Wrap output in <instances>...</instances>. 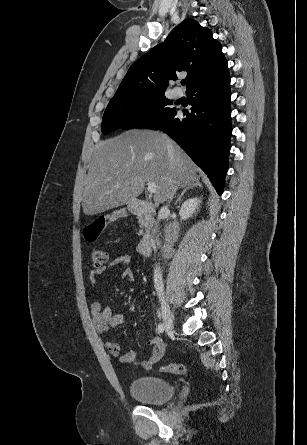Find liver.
I'll return each mask as SVG.
<instances>
[{"label":"liver","instance_id":"6515ba94","mask_svg":"<svg viewBox=\"0 0 307 445\" xmlns=\"http://www.w3.org/2000/svg\"><path fill=\"white\" fill-rule=\"evenodd\" d=\"M167 140L171 138L163 132L133 128L97 142L83 188L84 214L130 202L143 192L147 180L156 182L155 202H165L171 192L192 184L196 164L173 140L169 152Z\"/></svg>","mask_w":307,"mask_h":445}]
</instances>
